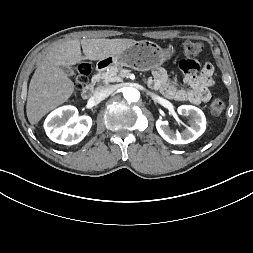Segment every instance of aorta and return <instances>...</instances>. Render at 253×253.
<instances>
[{
	"label": "aorta",
	"instance_id": "obj_1",
	"mask_svg": "<svg viewBox=\"0 0 253 253\" xmlns=\"http://www.w3.org/2000/svg\"><path fill=\"white\" fill-rule=\"evenodd\" d=\"M123 95L128 102H137L140 98L139 91L133 87L125 88Z\"/></svg>",
	"mask_w": 253,
	"mask_h": 253
}]
</instances>
